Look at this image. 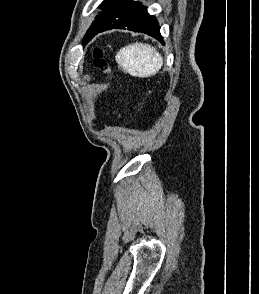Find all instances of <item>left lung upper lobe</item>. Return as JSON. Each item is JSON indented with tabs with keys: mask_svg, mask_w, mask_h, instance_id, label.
Segmentation results:
<instances>
[{
	"mask_svg": "<svg viewBox=\"0 0 259 294\" xmlns=\"http://www.w3.org/2000/svg\"><path fill=\"white\" fill-rule=\"evenodd\" d=\"M128 0H105L102 3L101 8L103 11L99 13L96 17L95 21L92 23L87 33L85 34L83 43L87 44L95 35V32L98 28L103 24L106 18L110 15V13L119 5L127 2Z\"/></svg>",
	"mask_w": 259,
	"mask_h": 294,
	"instance_id": "left-lung-upper-lobe-1",
	"label": "left lung upper lobe"
}]
</instances>
